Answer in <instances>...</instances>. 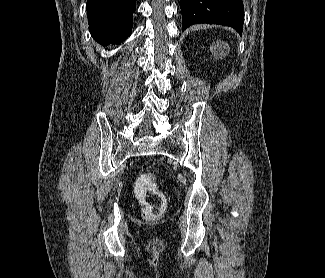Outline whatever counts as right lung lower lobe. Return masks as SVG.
<instances>
[{
	"label": "right lung lower lobe",
	"mask_w": 325,
	"mask_h": 278,
	"mask_svg": "<svg viewBox=\"0 0 325 278\" xmlns=\"http://www.w3.org/2000/svg\"><path fill=\"white\" fill-rule=\"evenodd\" d=\"M135 0H88L86 5L89 31L103 44L120 43L132 30Z\"/></svg>",
	"instance_id": "obj_1"
}]
</instances>
